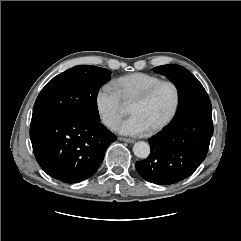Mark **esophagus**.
Here are the masks:
<instances>
[{
    "instance_id": "34e87169",
    "label": "esophagus",
    "mask_w": 241,
    "mask_h": 241,
    "mask_svg": "<svg viewBox=\"0 0 241 241\" xmlns=\"http://www.w3.org/2000/svg\"><path fill=\"white\" fill-rule=\"evenodd\" d=\"M118 139L121 140V141L128 142V143H134L135 142V140L131 139V138L119 137Z\"/></svg>"
}]
</instances>
